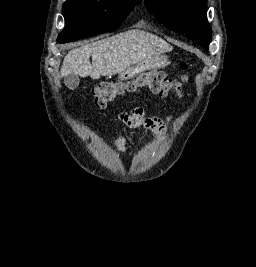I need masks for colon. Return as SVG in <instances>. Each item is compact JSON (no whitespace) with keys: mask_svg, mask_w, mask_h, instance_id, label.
Masks as SVG:
<instances>
[{"mask_svg":"<svg viewBox=\"0 0 256 267\" xmlns=\"http://www.w3.org/2000/svg\"><path fill=\"white\" fill-rule=\"evenodd\" d=\"M191 64L182 62L180 69L189 71ZM184 76L181 80L186 81ZM180 85L179 82L172 81L164 72L153 70V73H141L136 77H130V81L117 80L98 85L93 92V102L95 107L104 108L117 98L135 94L140 88L147 87L160 96L168 95L173 89Z\"/></svg>","mask_w":256,"mask_h":267,"instance_id":"colon-1","label":"colon"}]
</instances>
